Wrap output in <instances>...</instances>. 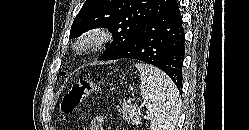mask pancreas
Segmentation results:
<instances>
[{"instance_id":"pancreas-1","label":"pancreas","mask_w":249,"mask_h":130,"mask_svg":"<svg viewBox=\"0 0 249 130\" xmlns=\"http://www.w3.org/2000/svg\"><path fill=\"white\" fill-rule=\"evenodd\" d=\"M123 113V119L131 124L139 125L141 118L136 107L129 102H124L122 108H118V112Z\"/></svg>"}]
</instances>
